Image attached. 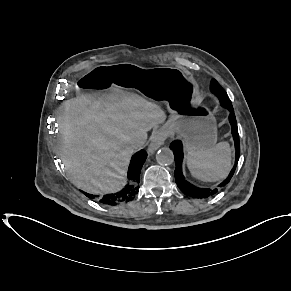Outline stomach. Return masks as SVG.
I'll return each mask as SVG.
<instances>
[{
  "mask_svg": "<svg viewBox=\"0 0 291 291\" xmlns=\"http://www.w3.org/2000/svg\"><path fill=\"white\" fill-rule=\"evenodd\" d=\"M80 83L88 90L133 89L152 101H163L171 113L164 130L178 133L188 151L211 148L217 141L216 120L200 104L197 83L183 69L144 68L129 63L102 65L93 67Z\"/></svg>",
  "mask_w": 291,
  "mask_h": 291,
  "instance_id": "0dacf381",
  "label": "stomach"
}]
</instances>
